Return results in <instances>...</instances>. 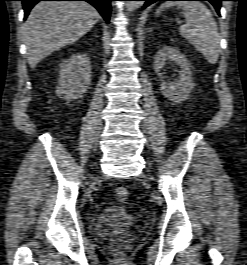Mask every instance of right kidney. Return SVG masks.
Masks as SVG:
<instances>
[{
  "instance_id": "1",
  "label": "right kidney",
  "mask_w": 247,
  "mask_h": 265,
  "mask_svg": "<svg viewBox=\"0 0 247 265\" xmlns=\"http://www.w3.org/2000/svg\"><path fill=\"white\" fill-rule=\"evenodd\" d=\"M91 82L90 59L86 54H74L60 65L58 97L71 101L83 96Z\"/></svg>"
}]
</instances>
